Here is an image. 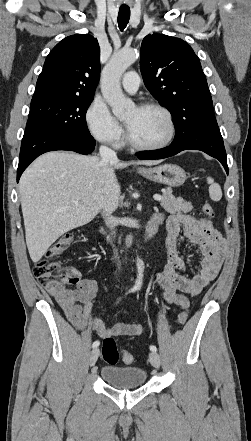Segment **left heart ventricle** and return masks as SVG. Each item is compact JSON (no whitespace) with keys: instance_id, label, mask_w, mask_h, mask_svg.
Instances as JSON below:
<instances>
[{"instance_id":"1","label":"left heart ventricle","mask_w":251,"mask_h":441,"mask_svg":"<svg viewBox=\"0 0 251 441\" xmlns=\"http://www.w3.org/2000/svg\"><path fill=\"white\" fill-rule=\"evenodd\" d=\"M124 122L135 140L143 144L160 143L169 133L165 115L156 109L134 107L124 116Z\"/></svg>"}]
</instances>
